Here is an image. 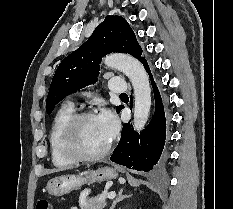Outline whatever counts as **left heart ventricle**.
Returning a JSON list of instances; mask_svg holds the SVG:
<instances>
[{"mask_svg":"<svg viewBox=\"0 0 233 209\" xmlns=\"http://www.w3.org/2000/svg\"><path fill=\"white\" fill-rule=\"evenodd\" d=\"M96 117L83 120L76 132L75 147L83 154H94L102 150L108 143Z\"/></svg>","mask_w":233,"mask_h":209,"instance_id":"left-heart-ventricle-1","label":"left heart ventricle"}]
</instances>
